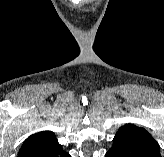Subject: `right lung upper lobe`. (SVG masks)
<instances>
[{
  "label": "right lung upper lobe",
  "mask_w": 164,
  "mask_h": 157,
  "mask_svg": "<svg viewBox=\"0 0 164 157\" xmlns=\"http://www.w3.org/2000/svg\"><path fill=\"white\" fill-rule=\"evenodd\" d=\"M56 140V136L51 131H42L28 137L22 144L18 157H27V155L36 149L40 148L42 145L50 143Z\"/></svg>",
  "instance_id": "right-lung-upper-lobe-1"
}]
</instances>
